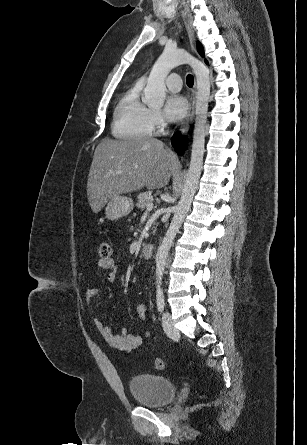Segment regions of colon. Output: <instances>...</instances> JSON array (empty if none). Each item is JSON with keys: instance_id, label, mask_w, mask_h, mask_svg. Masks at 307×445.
Returning a JSON list of instances; mask_svg holds the SVG:
<instances>
[{"instance_id": "1", "label": "colon", "mask_w": 307, "mask_h": 445, "mask_svg": "<svg viewBox=\"0 0 307 445\" xmlns=\"http://www.w3.org/2000/svg\"><path fill=\"white\" fill-rule=\"evenodd\" d=\"M97 252L101 259H109L113 253L112 244L108 241H101L97 243ZM153 366L157 370H161L164 367L162 359L156 358L153 361Z\"/></svg>"}]
</instances>
